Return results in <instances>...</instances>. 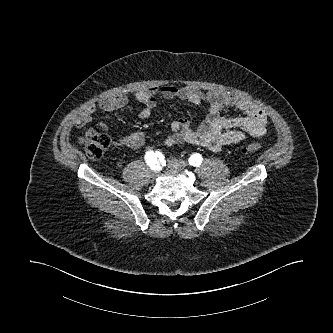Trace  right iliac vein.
<instances>
[{"label":"right iliac vein","instance_id":"63e3f726","mask_svg":"<svg viewBox=\"0 0 333 333\" xmlns=\"http://www.w3.org/2000/svg\"><path fill=\"white\" fill-rule=\"evenodd\" d=\"M158 174V170H153L152 171V176H156Z\"/></svg>","mask_w":333,"mask_h":333}]
</instances>
